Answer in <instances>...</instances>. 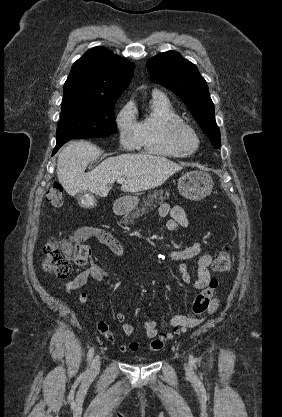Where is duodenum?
<instances>
[{"label":"duodenum","mask_w":282,"mask_h":417,"mask_svg":"<svg viewBox=\"0 0 282 417\" xmlns=\"http://www.w3.org/2000/svg\"><path fill=\"white\" fill-rule=\"evenodd\" d=\"M115 214H120L124 212V205L120 201L116 202L113 207Z\"/></svg>","instance_id":"obj_1"}]
</instances>
